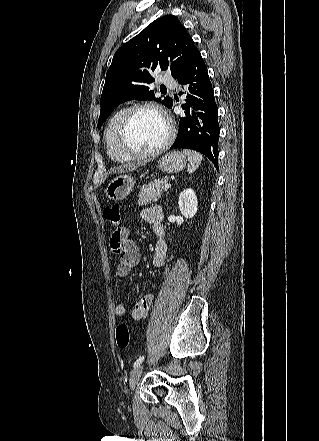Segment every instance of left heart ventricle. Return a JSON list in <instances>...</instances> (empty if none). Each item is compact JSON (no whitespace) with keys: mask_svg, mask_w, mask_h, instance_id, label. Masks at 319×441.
Here are the masks:
<instances>
[{"mask_svg":"<svg viewBox=\"0 0 319 441\" xmlns=\"http://www.w3.org/2000/svg\"><path fill=\"white\" fill-rule=\"evenodd\" d=\"M166 135L167 127L163 119L153 111L143 110L132 117L125 141L132 149L145 152L160 146Z\"/></svg>","mask_w":319,"mask_h":441,"instance_id":"1","label":"left heart ventricle"}]
</instances>
